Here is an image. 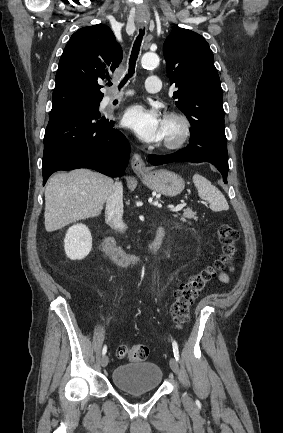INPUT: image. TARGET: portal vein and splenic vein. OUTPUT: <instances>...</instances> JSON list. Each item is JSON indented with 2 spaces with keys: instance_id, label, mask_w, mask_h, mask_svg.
Wrapping results in <instances>:
<instances>
[{
  "instance_id": "portal-vein-and-splenic-vein-1",
  "label": "portal vein and splenic vein",
  "mask_w": 283,
  "mask_h": 433,
  "mask_svg": "<svg viewBox=\"0 0 283 433\" xmlns=\"http://www.w3.org/2000/svg\"><path fill=\"white\" fill-rule=\"evenodd\" d=\"M184 204H177V206H174V208H170L172 212H177V210H181L183 208Z\"/></svg>"
}]
</instances>
